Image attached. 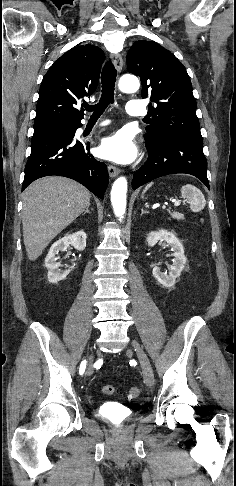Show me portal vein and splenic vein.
<instances>
[{
    "label": "portal vein and splenic vein",
    "mask_w": 236,
    "mask_h": 486,
    "mask_svg": "<svg viewBox=\"0 0 236 486\" xmlns=\"http://www.w3.org/2000/svg\"><path fill=\"white\" fill-rule=\"evenodd\" d=\"M180 204H181V202H180V201H175V202H174V206H175V207H179V206H180Z\"/></svg>",
    "instance_id": "portal-vein-and-splenic-vein-1"
}]
</instances>
